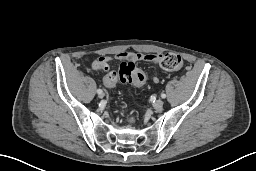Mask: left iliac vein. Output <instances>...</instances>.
Listing matches in <instances>:
<instances>
[{"mask_svg": "<svg viewBox=\"0 0 256 171\" xmlns=\"http://www.w3.org/2000/svg\"><path fill=\"white\" fill-rule=\"evenodd\" d=\"M162 106H163V101L161 99H158L153 103V107L157 110H160Z\"/></svg>", "mask_w": 256, "mask_h": 171, "instance_id": "4c4485c4", "label": "left iliac vein"}]
</instances>
